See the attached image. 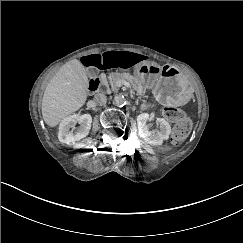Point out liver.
<instances>
[{
	"instance_id": "obj_1",
	"label": "liver",
	"mask_w": 243,
	"mask_h": 243,
	"mask_svg": "<svg viewBox=\"0 0 243 243\" xmlns=\"http://www.w3.org/2000/svg\"><path fill=\"white\" fill-rule=\"evenodd\" d=\"M89 80L80 60L62 66L47 84L42 98V117L50 128L82 108L87 100Z\"/></svg>"
}]
</instances>
